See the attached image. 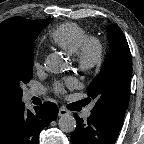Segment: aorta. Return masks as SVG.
I'll use <instances>...</instances> for the list:
<instances>
[{
    "label": "aorta",
    "instance_id": "aorta-1",
    "mask_svg": "<svg viewBox=\"0 0 144 144\" xmlns=\"http://www.w3.org/2000/svg\"><path fill=\"white\" fill-rule=\"evenodd\" d=\"M44 66L51 73H60L65 70L66 64L63 57L59 53L54 52L46 57ZM58 126L61 131L70 133L76 128V120L72 115L64 114L59 118Z\"/></svg>",
    "mask_w": 144,
    "mask_h": 144
}]
</instances>
